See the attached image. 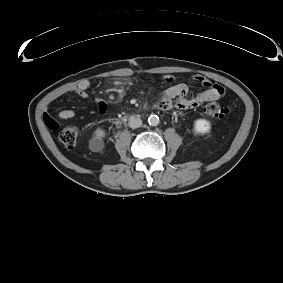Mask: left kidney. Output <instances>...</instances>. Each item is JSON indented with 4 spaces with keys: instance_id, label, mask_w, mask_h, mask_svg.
Returning <instances> with one entry per match:
<instances>
[{
    "instance_id": "1",
    "label": "left kidney",
    "mask_w": 283,
    "mask_h": 283,
    "mask_svg": "<svg viewBox=\"0 0 283 283\" xmlns=\"http://www.w3.org/2000/svg\"><path fill=\"white\" fill-rule=\"evenodd\" d=\"M210 122L206 119H197L194 122V131L198 134H206L210 131Z\"/></svg>"
}]
</instances>
